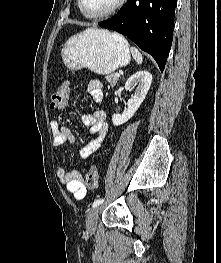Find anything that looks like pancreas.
<instances>
[{
	"label": "pancreas",
	"mask_w": 221,
	"mask_h": 263,
	"mask_svg": "<svg viewBox=\"0 0 221 263\" xmlns=\"http://www.w3.org/2000/svg\"><path fill=\"white\" fill-rule=\"evenodd\" d=\"M105 78L109 82L111 87H114L116 85L117 81H118V78L115 77V74H109Z\"/></svg>",
	"instance_id": "cf45deb5"
}]
</instances>
